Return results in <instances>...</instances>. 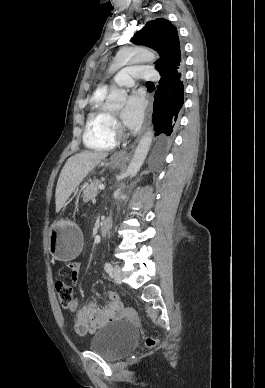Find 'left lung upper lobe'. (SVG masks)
Masks as SVG:
<instances>
[{
	"label": "left lung upper lobe",
	"mask_w": 265,
	"mask_h": 388,
	"mask_svg": "<svg viewBox=\"0 0 265 388\" xmlns=\"http://www.w3.org/2000/svg\"><path fill=\"white\" fill-rule=\"evenodd\" d=\"M132 41L158 52L160 60L155 62L159 74L183 65L180 42L176 27L164 18L149 21L138 31Z\"/></svg>",
	"instance_id": "5c2ea615"
}]
</instances>
